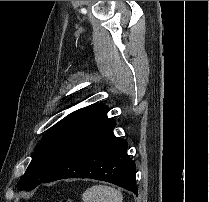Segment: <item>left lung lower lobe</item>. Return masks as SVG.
<instances>
[{
    "label": "left lung lower lobe",
    "mask_w": 209,
    "mask_h": 202,
    "mask_svg": "<svg viewBox=\"0 0 209 202\" xmlns=\"http://www.w3.org/2000/svg\"><path fill=\"white\" fill-rule=\"evenodd\" d=\"M104 106L88 117L63 146L51 172L42 181L91 178L116 184L138 195L136 165L127 155V142L116 138L114 119Z\"/></svg>",
    "instance_id": "1"
}]
</instances>
